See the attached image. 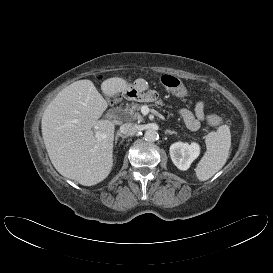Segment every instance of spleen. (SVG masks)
Wrapping results in <instances>:
<instances>
[{
	"mask_svg": "<svg viewBox=\"0 0 273 273\" xmlns=\"http://www.w3.org/2000/svg\"><path fill=\"white\" fill-rule=\"evenodd\" d=\"M205 143L207 151L195 169L200 181L208 180L225 165L231 147L229 126L221 125L216 132H210Z\"/></svg>",
	"mask_w": 273,
	"mask_h": 273,
	"instance_id": "obj_1",
	"label": "spleen"
}]
</instances>
